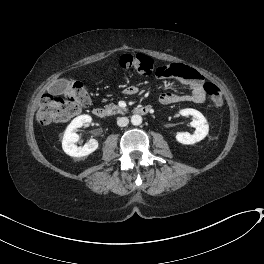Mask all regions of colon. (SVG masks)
Wrapping results in <instances>:
<instances>
[{"label":"colon","mask_w":264,"mask_h":264,"mask_svg":"<svg viewBox=\"0 0 264 264\" xmlns=\"http://www.w3.org/2000/svg\"><path fill=\"white\" fill-rule=\"evenodd\" d=\"M119 67L125 71H137L144 75L155 73L166 77L171 74L168 66H156L154 61L143 54H124L119 58ZM210 102L219 107L223 104L221 90L214 83L203 84ZM90 103L87 87L82 82H75L65 87L59 94L42 96L37 119L42 124L64 123L78 115Z\"/></svg>","instance_id":"5ec220e1"}]
</instances>
